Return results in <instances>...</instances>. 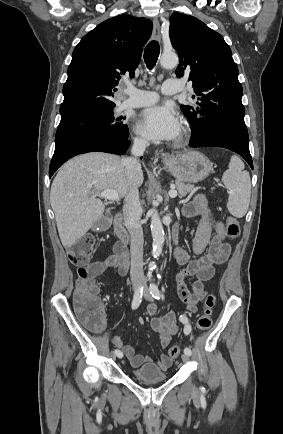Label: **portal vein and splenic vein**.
<instances>
[{"mask_svg":"<svg viewBox=\"0 0 283 434\" xmlns=\"http://www.w3.org/2000/svg\"><path fill=\"white\" fill-rule=\"evenodd\" d=\"M101 198H104V199H108V200H112V201H119L120 199H119V194H118V192H116V191H114V190H106V191H103V192H100L99 194H98ZM96 196V195H95ZM169 196L171 197V198H175L176 196H177V191L176 190H174V189H171L170 191H169Z\"/></svg>","mask_w":283,"mask_h":434,"instance_id":"18ae733b","label":"portal vein and splenic vein"}]
</instances>
